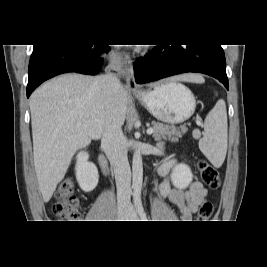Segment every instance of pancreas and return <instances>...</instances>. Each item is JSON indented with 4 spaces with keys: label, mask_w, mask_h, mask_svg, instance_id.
I'll return each mask as SVG.
<instances>
[{
    "label": "pancreas",
    "mask_w": 267,
    "mask_h": 267,
    "mask_svg": "<svg viewBox=\"0 0 267 267\" xmlns=\"http://www.w3.org/2000/svg\"><path fill=\"white\" fill-rule=\"evenodd\" d=\"M152 125L154 130L153 137L157 141L161 140L162 138H168L172 142H178V139L187 132V128L185 126L176 128L173 125H166L155 121L152 122Z\"/></svg>",
    "instance_id": "obj_1"
}]
</instances>
